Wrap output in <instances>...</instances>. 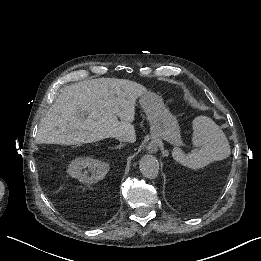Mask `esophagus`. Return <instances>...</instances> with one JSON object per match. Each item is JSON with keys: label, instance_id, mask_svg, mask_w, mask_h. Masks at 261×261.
Listing matches in <instances>:
<instances>
[{"label": "esophagus", "instance_id": "1", "mask_svg": "<svg viewBox=\"0 0 261 261\" xmlns=\"http://www.w3.org/2000/svg\"><path fill=\"white\" fill-rule=\"evenodd\" d=\"M157 150H158V147L155 143H150L147 147V152L151 153V154L156 153Z\"/></svg>", "mask_w": 261, "mask_h": 261}]
</instances>
